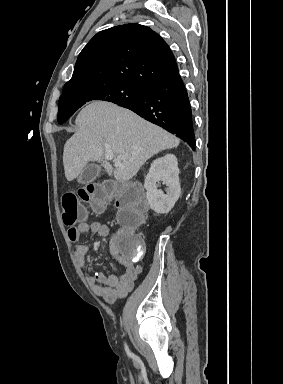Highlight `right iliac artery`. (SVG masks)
<instances>
[{"mask_svg": "<svg viewBox=\"0 0 283 384\" xmlns=\"http://www.w3.org/2000/svg\"><path fill=\"white\" fill-rule=\"evenodd\" d=\"M125 350H126V352H127L128 355H131V352H130V350L128 349V347H127L126 344H125Z\"/></svg>", "mask_w": 283, "mask_h": 384, "instance_id": "obj_1", "label": "right iliac artery"}]
</instances>
